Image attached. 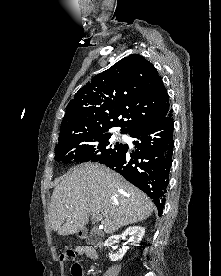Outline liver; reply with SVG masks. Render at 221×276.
<instances>
[{"label": "liver", "instance_id": "liver-1", "mask_svg": "<svg viewBox=\"0 0 221 276\" xmlns=\"http://www.w3.org/2000/svg\"><path fill=\"white\" fill-rule=\"evenodd\" d=\"M152 200L121 175L98 163L75 167L55 187L50 204L51 228L61 236L85 229L93 213L104 217V232L147 219Z\"/></svg>", "mask_w": 221, "mask_h": 276}]
</instances>
